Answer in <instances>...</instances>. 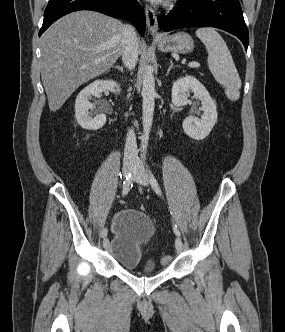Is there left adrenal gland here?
I'll return each instance as SVG.
<instances>
[{
	"instance_id": "obj_1",
	"label": "left adrenal gland",
	"mask_w": 285,
	"mask_h": 332,
	"mask_svg": "<svg viewBox=\"0 0 285 332\" xmlns=\"http://www.w3.org/2000/svg\"><path fill=\"white\" fill-rule=\"evenodd\" d=\"M173 67H174V65H173V61L170 59V66H169V68H168V70H167V75L169 74L170 70H171Z\"/></svg>"
}]
</instances>
